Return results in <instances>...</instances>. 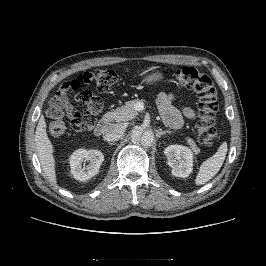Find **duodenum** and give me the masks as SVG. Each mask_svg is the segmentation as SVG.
Wrapping results in <instances>:
<instances>
[{"mask_svg":"<svg viewBox=\"0 0 266 266\" xmlns=\"http://www.w3.org/2000/svg\"><path fill=\"white\" fill-rule=\"evenodd\" d=\"M107 126H108V120L107 119L101 120L95 125L94 134L96 136H102L105 133Z\"/></svg>","mask_w":266,"mask_h":266,"instance_id":"duodenum-1","label":"duodenum"}]
</instances>
